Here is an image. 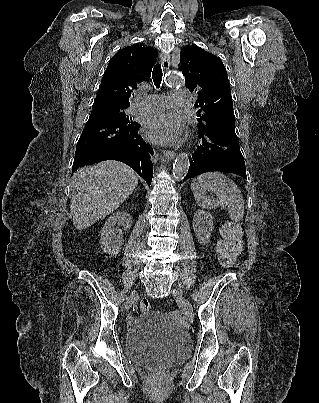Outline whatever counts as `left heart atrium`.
Segmentation results:
<instances>
[{
    "label": "left heart atrium",
    "mask_w": 319,
    "mask_h": 403,
    "mask_svg": "<svg viewBox=\"0 0 319 403\" xmlns=\"http://www.w3.org/2000/svg\"><path fill=\"white\" fill-rule=\"evenodd\" d=\"M146 138L161 144H175L181 140L182 124L171 113L160 112L149 116L143 125Z\"/></svg>",
    "instance_id": "39dd6f15"
}]
</instances>
